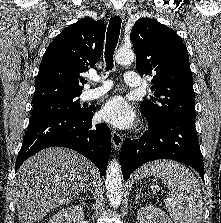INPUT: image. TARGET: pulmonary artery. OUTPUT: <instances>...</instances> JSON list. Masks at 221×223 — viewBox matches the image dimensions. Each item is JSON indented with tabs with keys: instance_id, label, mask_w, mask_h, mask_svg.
<instances>
[{
	"instance_id": "e3ab8cb5",
	"label": "pulmonary artery",
	"mask_w": 221,
	"mask_h": 223,
	"mask_svg": "<svg viewBox=\"0 0 221 223\" xmlns=\"http://www.w3.org/2000/svg\"><path fill=\"white\" fill-rule=\"evenodd\" d=\"M89 81L99 83L101 85L96 88L87 89L84 93L86 100L96 99L105 94L112 87V83L110 81H106L104 78L98 75L90 76ZM124 81L130 87H139L142 84L138 73L133 70H128L124 73Z\"/></svg>"
}]
</instances>
